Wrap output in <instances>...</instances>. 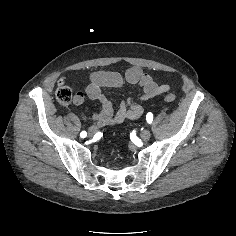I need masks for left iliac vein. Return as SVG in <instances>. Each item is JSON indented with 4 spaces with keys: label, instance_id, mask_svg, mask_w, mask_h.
I'll return each mask as SVG.
<instances>
[{
    "label": "left iliac vein",
    "instance_id": "4c4485c4",
    "mask_svg": "<svg viewBox=\"0 0 236 236\" xmlns=\"http://www.w3.org/2000/svg\"><path fill=\"white\" fill-rule=\"evenodd\" d=\"M140 137H141L143 140H149L150 137H151V133H150V131H148V130H142V131L140 132Z\"/></svg>",
    "mask_w": 236,
    "mask_h": 236
}]
</instances>
